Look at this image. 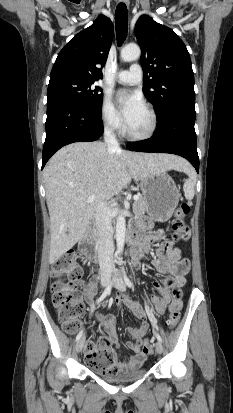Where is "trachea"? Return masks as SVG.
Returning <instances> with one entry per match:
<instances>
[{
	"instance_id": "3493384b",
	"label": "trachea",
	"mask_w": 233,
	"mask_h": 413,
	"mask_svg": "<svg viewBox=\"0 0 233 413\" xmlns=\"http://www.w3.org/2000/svg\"><path fill=\"white\" fill-rule=\"evenodd\" d=\"M115 27L119 46L125 41L128 32V12L124 3H119L115 11Z\"/></svg>"
}]
</instances>
